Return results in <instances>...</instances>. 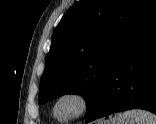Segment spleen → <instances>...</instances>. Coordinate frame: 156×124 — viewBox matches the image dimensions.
<instances>
[{
  "instance_id": "3e777b00",
  "label": "spleen",
  "mask_w": 156,
  "mask_h": 124,
  "mask_svg": "<svg viewBox=\"0 0 156 124\" xmlns=\"http://www.w3.org/2000/svg\"><path fill=\"white\" fill-rule=\"evenodd\" d=\"M124 116L135 119L136 124H156V115L144 110L133 109L125 111Z\"/></svg>"
}]
</instances>
